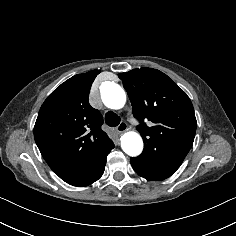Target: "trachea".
Returning <instances> with one entry per match:
<instances>
[{
    "label": "trachea",
    "mask_w": 236,
    "mask_h": 236,
    "mask_svg": "<svg viewBox=\"0 0 236 236\" xmlns=\"http://www.w3.org/2000/svg\"><path fill=\"white\" fill-rule=\"evenodd\" d=\"M120 117L114 112H107L105 114V123L110 127H116L120 123Z\"/></svg>",
    "instance_id": "1"
}]
</instances>
